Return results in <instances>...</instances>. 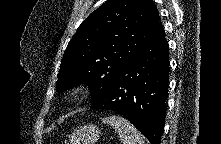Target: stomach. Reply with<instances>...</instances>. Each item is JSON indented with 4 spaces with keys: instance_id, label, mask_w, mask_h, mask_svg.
Segmentation results:
<instances>
[{
    "instance_id": "stomach-1",
    "label": "stomach",
    "mask_w": 221,
    "mask_h": 144,
    "mask_svg": "<svg viewBox=\"0 0 221 144\" xmlns=\"http://www.w3.org/2000/svg\"><path fill=\"white\" fill-rule=\"evenodd\" d=\"M100 134V129L94 124L83 125L69 135V142L71 144H94L99 139Z\"/></svg>"
}]
</instances>
